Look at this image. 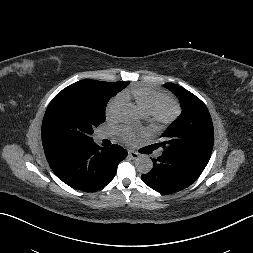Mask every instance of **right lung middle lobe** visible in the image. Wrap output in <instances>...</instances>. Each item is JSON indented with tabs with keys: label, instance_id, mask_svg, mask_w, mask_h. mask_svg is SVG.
<instances>
[{
	"label": "right lung middle lobe",
	"instance_id": "right-lung-middle-lobe-1",
	"mask_svg": "<svg viewBox=\"0 0 253 253\" xmlns=\"http://www.w3.org/2000/svg\"><path fill=\"white\" fill-rule=\"evenodd\" d=\"M129 82L82 80L60 91L50 102L42 122L43 147L86 145L105 121V109L111 97Z\"/></svg>",
	"mask_w": 253,
	"mask_h": 253
}]
</instances>
